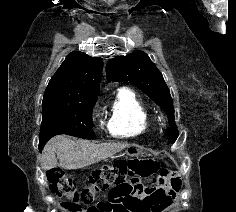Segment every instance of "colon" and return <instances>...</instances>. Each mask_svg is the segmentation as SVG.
Instances as JSON below:
<instances>
[{
  "label": "colon",
  "mask_w": 236,
  "mask_h": 212,
  "mask_svg": "<svg viewBox=\"0 0 236 212\" xmlns=\"http://www.w3.org/2000/svg\"><path fill=\"white\" fill-rule=\"evenodd\" d=\"M157 170L158 165L153 162L118 160L95 170L82 189L59 169L49 170L47 180L52 193L66 199L68 204L76 205L91 202L97 193L114 186L115 179H122V176H126L127 179V175H153Z\"/></svg>",
  "instance_id": "5ec220e1"
}]
</instances>
